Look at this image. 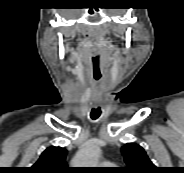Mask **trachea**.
I'll return each instance as SVG.
<instances>
[{"label":"trachea","mask_w":184,"mask_h":173,"mask_svg":"<svg viewBox=\"0 0 184 173\" xmlns=\"http://www.w3.org/2000/svg\"><path fill=\"white\" fill-rule=\"evenodd\" d=\"M91 118H92L93 120H95L97 117L92 116Z\"/></svg>","instance_id":"obj_1"}]
</instances>
